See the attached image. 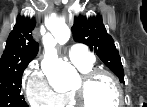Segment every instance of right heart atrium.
<instances>
[{"instance_id":"d8ad5b80","label":"right heart atrium","mask_w":147,"mask_h":107,"mask_svg":"<svg viewBox=\"0 0 147 107\" xmlns=\"http://www.w3.org/2000/svg\"><path fill=\"white\" fill-rule=\"evenodd\" d=\"M27 102L35 107H54L60 104L61 95L52 90L38 64H33L23 78Z\"/></svg>"}]
</instances>
